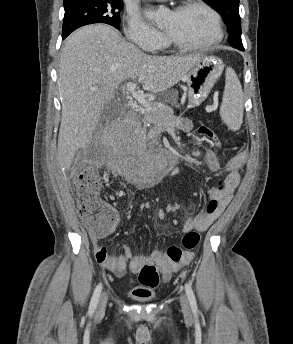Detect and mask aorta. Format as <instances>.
I'll list each match as a JSON object with an SVG mask.
<instances>
[{"mask_svg":"<svg viewBox=\"0 0 293 344\" xmlns=\"http://www.w3.org/2000/svg\"><path fill=\"white\" fill-rule=\"evenodd\" d=\"M166 11L167 10L165 8L149 10L146 12V17L150 20H154L156 23H160L166 14ZM151 165L156 172L163 173L168 168V161L164 155L154 154L151 157Z\"/></svg>","mask_w":293,"mask_h":344,"instance_id":"obj_1","label":"aorta"}]
</instances>
